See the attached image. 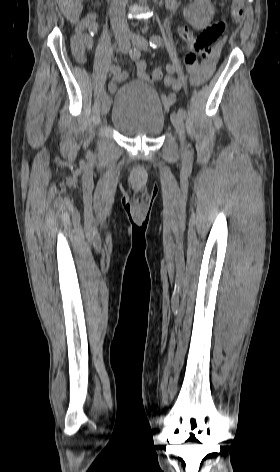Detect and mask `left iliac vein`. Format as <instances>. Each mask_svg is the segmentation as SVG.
<instances>
[{
	"instance_id": "4c4485c4",
	"label": "left iliac vein",
	"mask_w": 280,
	"mask_h": 472,
	"mask_svg": "<svg viewBox=\"0 0 280 472\" xmlns=\"http://www.w3.org/2000/svg\"><path fill=\"white\" fill-rule=\"evenodd\" d=\"M132 43L141 50H147L148 48V41L144 37L137 34L132 35ZM171 122L174 128L176 129V132L180 139V143L183 147L185 144V129L183 118L178 113H172Z\"/></svg>"
}]
</instances>
